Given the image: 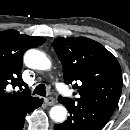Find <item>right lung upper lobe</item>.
<instances>
[{
  "label": "right lung upper lobe",
  "instance_id": "right-lung-upper-lobe-1",
  "mask_svg": "<svg viewBox=\"0 0 130 130\" xmlns=\"http://www.w3.org/2000/svg\"><path fill=\"white\" fill-rule=\"evenodd\" d=\"M46 39L20 34L15 30L0 32V116L16 112L35 103L27 84L22 80L24 52L42 45ZM19 87L20 91H10Z\"/></svg>",
  "mask_w": 130,
  "mask_h": 130
}]
</instances>
